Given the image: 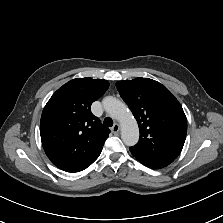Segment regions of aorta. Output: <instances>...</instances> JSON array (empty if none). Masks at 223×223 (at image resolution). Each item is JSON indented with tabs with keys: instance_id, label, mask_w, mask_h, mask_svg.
Masks as SVG:
<instances>
[{
	"instance_id": "aorta-1",
	"label": "aorta",
	"mask_w": 223,
	"mask_h": 223,
	"mask_svg": "<svg viewBox=\"0 0 223 223\" xmlns=\"http://www.w3.org/2000/svg\"><path fill=\"white\" fill-rule=\"evenodd\" d=\"M104 110L121 126V139L126 146H134L139 140V128L127 105L113 96H106L102 100Z\"/></svg>"
}]
</instances>
